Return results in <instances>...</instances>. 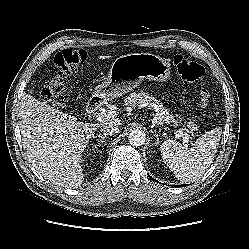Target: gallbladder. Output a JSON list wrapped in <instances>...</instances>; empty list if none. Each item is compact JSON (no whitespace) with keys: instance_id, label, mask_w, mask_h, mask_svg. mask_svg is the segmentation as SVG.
Segmentation results:
<instances>
[{"instance_id":"gallbladder-1","label":"gallbladder","mask_w":249,"mask_h":249,"mask_svg":"<svg viewBox=\"0 0 249 249\" xmlns=\"http://www.w3.org/2000/svg\"><path fill=\"white\" fill-rule=\"evenodd\" d=\"M28 91H29L30 93H33V92H34V90H33V89H29Z\"/></svg>"}]
</instances>
